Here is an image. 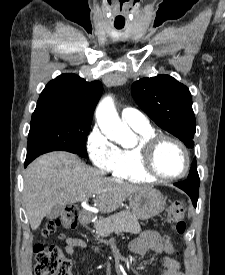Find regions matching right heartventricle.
<instances>
[{"mask_svg":"<svg viewBox=\"0 0 225 275\" xmlns=\"http://www.w3.org/2000/svg\"><path fill=\"white\" fill-rule=\"evenodd\" d=\"M132 128L138 133L140 140L156 134L151 126ZM139 159L137 146L119 149L118 159L110 171L112 176L133 183L152 182L153 179L141 170Z\"/></svg>","mask_w":225,"mask_h":275,"instance_id":"obj_1","label":"right heart ventricle"}]
</instances>
